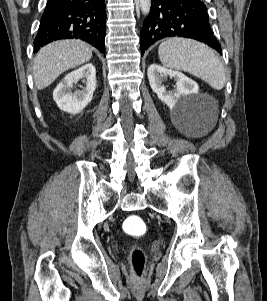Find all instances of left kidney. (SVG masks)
I'll return each mask as SVG.
<instances>
[{
	"mask_svg": "<svg viewBox=\"0 0 267 301\" xmlns=\"http://www.w3.org/2000/svg\"><path fill=\"white\" fill-rule=\"evenodd\" d=\"M150 86L158 98L170 108L176 106L180 98L194 94L198 91V85L192 79L186 77L183 73L172 71L158 64H152L147 70ZM176 80V89L167 91L162 82L167 77Z\"/></svg>",
	"mask_w": 267,
	"mask_h": 301,
	"instance_id": "left-kidney-1",
	"label": "left kidney"
}]
</instances>
